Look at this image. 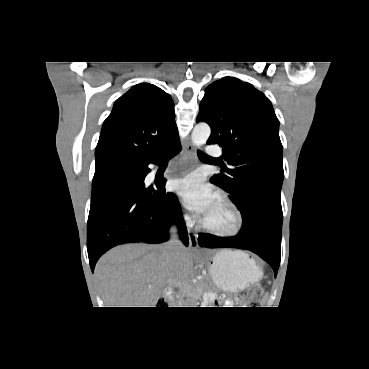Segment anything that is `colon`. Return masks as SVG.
Listing matches in <instances>:
<instances>
[{
    "mask_svg": "<svg viewBox=\"0 0 369 369\" xmlns=\"http://www.w3.org/2000/svg\"><path fill=\"white\" fill-rule=\"evenodd\" d=\"M264 288L262 284H256L245 290L235 299H225L227 306H249L259 303L263 298Z\"/></svg>",
    "mask_w": 369,
    "mask_h": 369,
    "instance_id": "1",
    "label": "colon"
}]
</instances>
